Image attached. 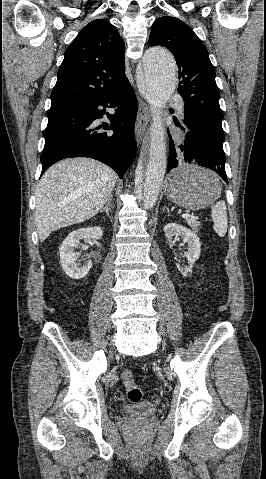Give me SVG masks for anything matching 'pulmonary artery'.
<instances>
[{"label": "pulmonary artery", "mask_w": 266, "mask_h": 479, "mask_svg": "<svg viewBox=\"0 0 266 479\" xmlns=\"http://www.w3.org/2000/svg\"><path fill=\"white\" fill-rule=\"evenodd\" d=\"M175 97H176V96H175V95H173V98H175ZM179 112H180V114H181V115L183 114V108H182V105H180V107H179Z\"/></svg>", "instance_id": "1"}]
</instances>
